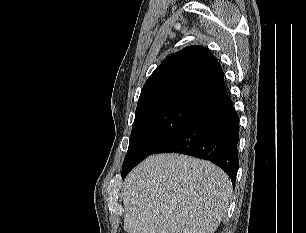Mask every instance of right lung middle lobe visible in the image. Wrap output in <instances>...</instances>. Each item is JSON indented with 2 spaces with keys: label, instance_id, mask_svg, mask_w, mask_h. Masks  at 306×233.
Masks as SVG:
<instances>
[{
  "label": "right lung middle lobe",
  "instance_id": "dd1d6c3e",
  "mask_svg": "<svg viewBox=\"0 0 306 233\" xmlns=\"http://www.w3.org/2000/svg\"><path fill=\"white\" fill-rule=\"evenodd\" d=\"M202 108L200 104L183 99L156 100L137 108L122 177Z\"/></svg>",
  "mask_w": 306,
  "mask_h": 233
}]
</instances>
